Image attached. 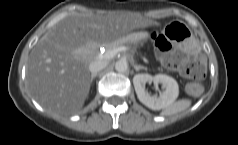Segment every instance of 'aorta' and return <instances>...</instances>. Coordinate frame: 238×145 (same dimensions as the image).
<instances>
[{"mask_svg": "<svg viewBox=\"0 0 238 145\" xmlns=\"http://www.w3.org/2000/svg\"><path fill=\"white\" fill-rule=\"evenodd\" d=\"M115 69L117 72L124 73L128 70V63L126 60H119L115 64Z\"/></svg>", "mask_w": 238, "mask_h": 145, "instance_id": "1", "label": "aorta"}]
</instances>
